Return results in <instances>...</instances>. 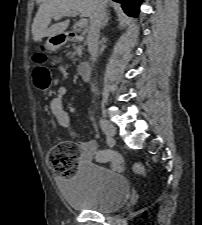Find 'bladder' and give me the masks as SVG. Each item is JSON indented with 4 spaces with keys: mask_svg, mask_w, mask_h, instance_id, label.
Listing matches in <instances>:
<instances>
[{
    "mask_svg": "<svg viewBox=\"0 0 202 225\" xmlns=\"http://www.w3.org/2000/svg\"><path fill=\"white\" fill-rule=\"evenodd\" d=\"M60 186L64 199L74 210L114 213L124 207L129 197V182L123 174L94 163L80 165Z\"/></svg>",
    "mask_w": 202,
    "mask_h": 225,
    "instance_id": "31cf9c89",
    "label": "bladder"
}]
</instances>
